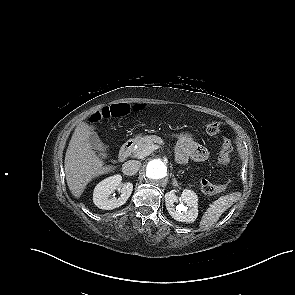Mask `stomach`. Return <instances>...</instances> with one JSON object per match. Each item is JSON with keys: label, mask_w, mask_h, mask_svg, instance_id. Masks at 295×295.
Returning <instances> with one entry per match:
<instances>
[{"label": "stomach", "mask_w": 295, "mask_h": 295, "mask_svg": "<svg viewBox=\"0 0 295 295\" xmlns=\"http://www.w3.org/2000/svg\"><path fill=\"white\" fill-rule=\"evenodd\" d=\"M141 139V136H137L136 138H135V141H139Z\"/></svg>", "instance_id": "stomach-1"}]
</instances>
